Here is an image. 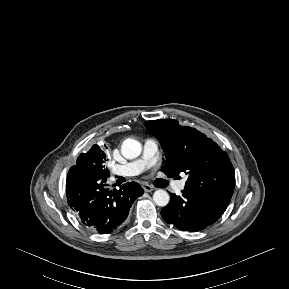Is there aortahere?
Segmentation results:
<instances>
[{
    "label": "aorta",
    "mask_w": 289,
    "mask_h": 289,
    "mask_svg": "<svg viewBox=\"0 0 289 289\" xmlns=\"http://www.w3.org/2000/svg\"><path fill=\"white\" fill-rule=\"evenodd\" d=\"M122 154L129 159H134L141 154V143L134 139H126L121 146ZM153 200L158 206L164 207L169 203L170 196L167 191L159 189L153 194Z\"/></svg>",
    "instance_id": "obj_1"
}]
</instances>
